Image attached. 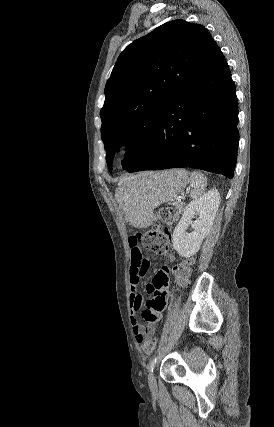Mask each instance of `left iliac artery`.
Instances as JSON below:
<instances>
[{
    "label": "left iliac artery",
    "instance_id": "44dca946",
    "mask_svg": "<svg viewBox=\"0 0 274 427\" xmlns=\"http://www.w3.org/2000/svg\"><path fill=\"white\" fill-rule=\"evenodd\" d=\"M157 359H158V357H157V356H155V357L151 360V362H150V364H149V372H153V369H154V366H155V364H156V362H157Z\"/></svg>",
    "mask_w": 274,
    "mask_h": 427
}]
</instances>
